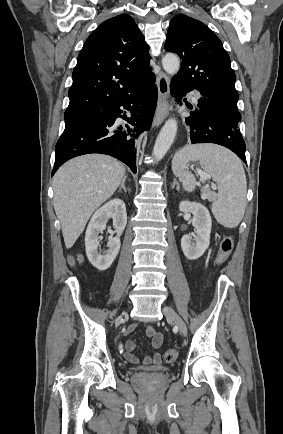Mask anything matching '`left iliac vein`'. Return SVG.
Listing matches in <instances>:
<instances>
[{"mask_svg":"<svg viewBox=\"0 0 283 434\" xmlns=\"http://www.w3.org/2000/svg\"><path fill=\"white\" fill-rule=\"evenodd\" d=\"M165 317L174 322L177 325L179 331L183 336L187 335V327L183 319L169 306H164L162 308Z\"/></svg>","mask_w":283,"mask_h":434,"instance_id":"1","label":"left iliac vein"}]
</instances>
